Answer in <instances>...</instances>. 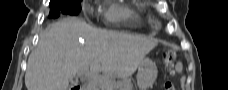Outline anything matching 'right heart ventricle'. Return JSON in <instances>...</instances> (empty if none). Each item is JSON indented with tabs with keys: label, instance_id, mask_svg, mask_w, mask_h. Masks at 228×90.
Masks as SVG:
<instances>
[{
	"label": "right heart ventricle",
	"instance_id": "1",
	"mask_svg": "<svg viewBox=\"0 0 228 90\" xmlns=\"http://www.w3.org/2000/svg\"><path fill=\"white\" fill-rule=\"evenodd\" d=\"M138 17V13L131 7L112 6L106 12V18L110 22L134 21Z\"/></svg>",
	"mask_w": 228,
	"mask_h": 90
}]
</instances>
